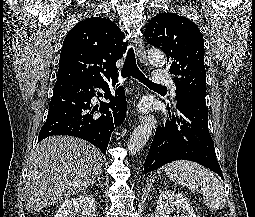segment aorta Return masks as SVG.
<instances>
[{
  "label": "aorta",
  "instance_id": "1",
  "mask_svg": "<svg viewBox=\"0 0 255 217\" xmlns=\"http://www.w3.org/2000/svg\"><path fill=\"white\" fill-rule=\"evenodd\" d=\"M148 59L149 62L155 66H163L166 63L165 54L160 50H150L148 52ZM152 131V121H147L134 129L127 145L131 155H135L146 145L152 134Z\"/></svg>",
  "mask_w": 255,
  "mask_h": 217
}]
</instances>
